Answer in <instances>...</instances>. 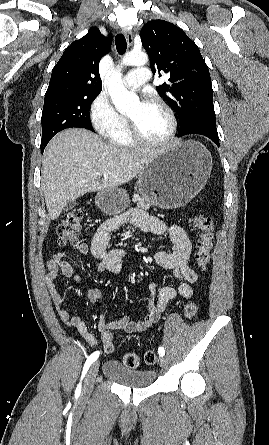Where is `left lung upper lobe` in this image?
<instances>
[{
	"label": "left lung upper lobe",
	"mask_w": 269,
	"mask_h": 445,
	"mask_svg": "<svg viewBox=\"0 0 269 445\" xmlns=\"http://www.w3.org/2000/svg\"><path fill=\"white\" fill-rule=\"evenodd\" d=\"M140 37L152 72L170 75L169 82L156 89L177 113L180 132L191 125L216 123L211 78L197 45L180 28L164 20L146 23Z\"/></svg>",
	"instance_id": "1"
}]
</instances>
